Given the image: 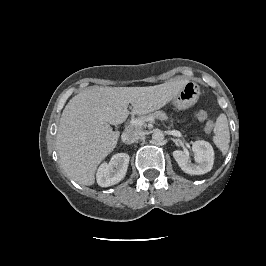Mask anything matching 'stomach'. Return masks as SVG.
<instances>
[{"label":"stomach","mask_w":266,"mask_h":266,"mask_svg":"<svg viewBox=\"0 0 266 266\" xmlns=\"http://www.w3.org/2000/svg\"><path fill=\"white\" fill-rule=\"evenodd\" d=\"M200 95V88L193 81H186L179 92L173 97V104L176 108L183 110L195 104Z\"/></svg>","instance_id":"0dacf381"}]
</instances>
